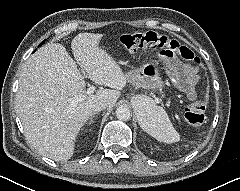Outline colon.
Instances as JSON below:
<instances>
[{"instance_id":"obj_1","label":"colon","mask_w":240,"mask_h":191,"mask_svg":"<svg viewBox=\"0 0 240 191\" xmlns=\"http://www.w3.org/2000/svg\"><path fill=\"white\" fill-rule=\"evenodd\" d=\"M120 44L128 50H137L143 47L159 48L160 55L172 57L178 54L183 60L200 66L201 62L188 47L181 45L179 41L164 34L148 31L144 33H132L120 38ZM207 90L202 100L192 102L185 109V118L191 125H201L205 120Z\"/></svg>"}]
</instances>
